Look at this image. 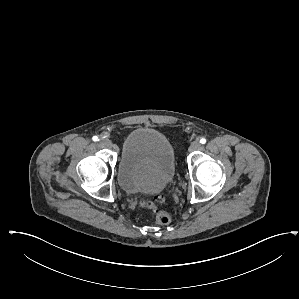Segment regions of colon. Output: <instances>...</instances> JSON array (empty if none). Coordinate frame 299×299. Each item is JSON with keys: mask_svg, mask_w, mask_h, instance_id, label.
Instances as JSON below:
<instances>
[{"mask_svg": "<svg viewBox=\"0 0 299 299\" xmlns=\"http://www.w3.org/2000/svg\"><path fill=\"white\" fill-rule=\"evenodd\" d=\"M163 202V197L158 196L154 200H142L140 206L146 209H155L158 204ZM156 222L160 225H168L171 222V217L168 213L160 211L156 214Z\"/></svg>", "mask_w": 299, "mask_h": 299, "instance_id": "obj_1", "label": "colon"}]
</instances>
